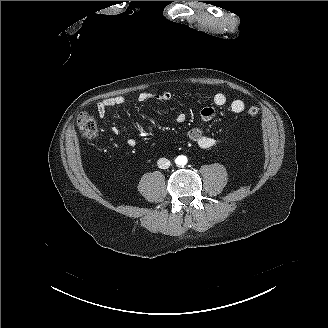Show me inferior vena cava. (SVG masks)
I'll list each match as a JSON object with an SVG mask.
<instances>
[{
	"mask_svg": "<svg viewBox=\"0 0 328 328\" xmlns=\"http://www.w3.org/2000/svg\"><path fill=\"white\" fill-rule=\"evenodd\" d=\"M171 165V162L167 158H160L158 160V167L161 169H167Z\"/></svg>",
	"mask_w": 328,
	"mask_h": 328,
	"instance_id": "obj_1",
	"label": "inferior vena cava"
}]
</instances>
